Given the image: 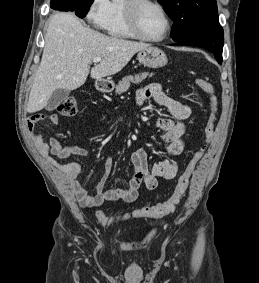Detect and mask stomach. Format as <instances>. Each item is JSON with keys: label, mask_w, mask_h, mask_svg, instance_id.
<instances>
[{"label": "stomach", "mask_w": 259, "mask_h": 283, "mask_svg": "<svg viewBox=\"0 0 259 283\" xmlns=\"http://www.w3.org/2000/svg\"><path fill=\"white\" fill-rule=\"evenodd\" d=\"M137 58L140 63L149 68H159L167 64L166 54L159 48L149 46L138 52ZM96 87L102 91H111L114 88L112 81H99Z\"/></svg>", "instance_id": "1"}]
</instances>
